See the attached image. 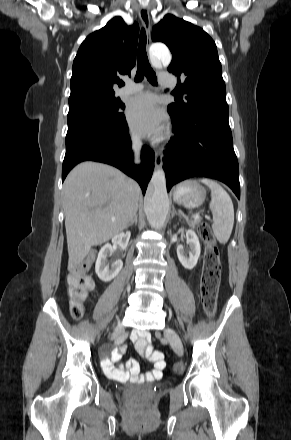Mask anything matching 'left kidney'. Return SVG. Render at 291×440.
Here are the masks:
<instances>
[{"label":"left kidney","instance_id":"obj_1","mask_svg":"<svg viewBox=\"0 0 291 440\" xmlns=\"http://www.w3.org/2000/svg\"><path fill=\"white\" fill-rule=\"evenodd\" d=\"M186 243L189 246V252H185L184 247L178 245L177 256L182 266L191 270L196 266L201 252L199 239L191 229L186 231Z\"/></svg>","mask_w":291,"mask_h":440}]
</instances>
